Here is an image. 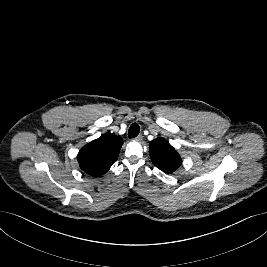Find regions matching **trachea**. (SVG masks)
Listing matches in <instances>:
<instances>
[{"instance_id":"3493384b","label":"trachea","mask_w":267,"mask_h":267,"mask_svg":"<svg viewBox=\"0 0 267 267\" xmlns=\"http://www.w3.org/2000/svg\"><path fill=\"white\" fill-rule=\"evenodd\" d=\"M140 132V127L137 123H133L128 130V137L135 138Z\"/></svg>"}]
</instances>
